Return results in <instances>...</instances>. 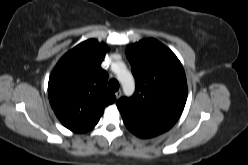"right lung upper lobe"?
Returning <instances> with one entry per match:
<instances>
[{
	"instance_id": "right-lung-upper-lobe-1",
	"label": "right lung upper lobe",
	"mask_w": 248,
	"mask_h": 165,
	"mask_svg": "<svg viewBox=\"0 0 248 165\" xmlns=\"http://www.w3.org/2000/svg\"><path fill=\"white\" fill-rule=\"evenodd\" d=\"M107 51L103 43L89 39L67 52L51 73V107L60 122L73 132L92 129L104 108L116 100L107 89L108 74L101 68Z\"/></svg>"
}]
</instances>
